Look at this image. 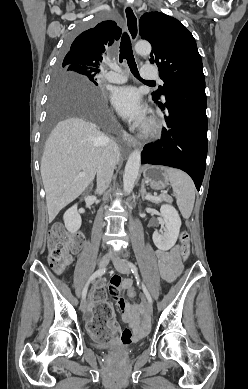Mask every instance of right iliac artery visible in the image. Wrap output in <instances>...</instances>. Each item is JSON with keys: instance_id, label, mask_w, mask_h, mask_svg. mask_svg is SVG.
<instances>
[{"instance_id": "obj_1", "label": "right iliac artery", "mask_w": 248, "mask_h": 389, "mask_svg": "<svg viewBox=\"0 0 248 389\" xmlns=\"http://www.w3.org/2000/svg\"><path fill=\"white\" fill-rule=\"evenodd\" d=\"M105 272H106V269L102 268V269L97 270L94 274L91 275V277L89 278L88 282L86 283V285H85V287L83 289V292H82V298L83 299L86 298L89 283L91 281H93L95 278H97L99 276H102Z\"/></svg>"}]
</instances>
